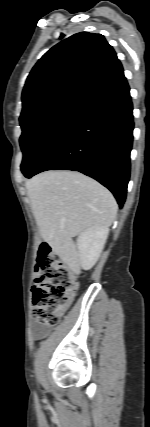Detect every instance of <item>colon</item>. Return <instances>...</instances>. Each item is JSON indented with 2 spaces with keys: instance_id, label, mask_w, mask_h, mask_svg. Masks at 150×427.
<instances>
[{
  "instance_id": "5ec220e1",
  "label": "colon",
  "mask_w": 150,
  "mask_h": 427,
  "mask_svg": "<svg viewBox=\"0 0 150 427\" xmlns=\"http://www.w3.org/2000/svg\"><path fill=\"white\" fill-rule=\"evenodd\" d=\"M32 290V316L43 326H55L79 288L77 273L50 246L40 245L38 275Z\"/></svg>"
}]
</instances>
